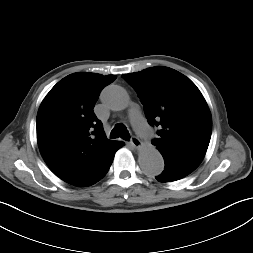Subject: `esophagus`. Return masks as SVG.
Masks as SVG:
<instances>
[{
    "label": "esophagus",
    "mask_w": 253,
    "mask_h": 253,
    "mask_svg": "<svg viewBox=\"0 0 253 253\" xmlns=\"http://www.w3.org/2000/svg\"><path fill=\"white\" fill-rule=\"evenodd\" d=\"M130 143H131V145H132L134 148H136V149H139V148H141V146H142V142H141L140 139L137 138L136 136H132V137H131Z\"/></svg>",
    "instance_id": "1"
}]
</instances>
